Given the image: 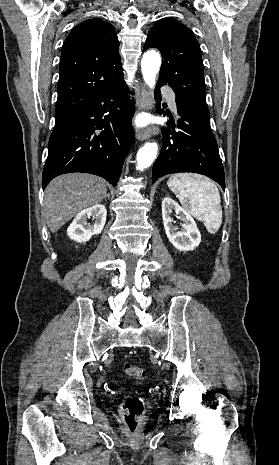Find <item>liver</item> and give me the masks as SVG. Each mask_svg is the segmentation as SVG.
Listing matches in <instances>:
<instances>
[{
  "instance_id": "liver-1",
  "label": "liver",
  "mask_w": 279,
  "mask_h": 465,
  "mask_svg": "<svg viewBox=\"0 0 279 465\" xmlns=\"http://www.w3.org/2000/svg\"><path fill=\"white\" fill-rule=\"evenodd\" d=\"M106 182L87 173H68L54 178L44 195L43 212L52 233L82 210L99 204L107 193Z\"/></svg>"
}]
</instances>
